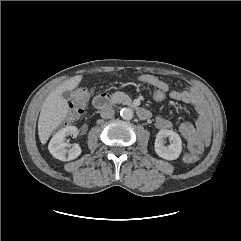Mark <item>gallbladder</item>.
Here are the masks:
<instances>
[{
    "label": "gallbladder",
    "instance_id": "bac80fb5",
    "mask_svg": "<svg viewBox=\"0 0 241 241\" xmlns=\"http://www.w3.org/2000/svg\"><path fill=\"white\" fill-rule=\"evenodd\" d=\"M62 97L66 100V101H69L72 99V93L69 92V91H64L62 93Z\"/></svg>",
    "mask_w": 241,
    "mask_h": 241
}]
</instances>
